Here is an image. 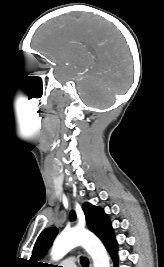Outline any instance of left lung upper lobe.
Wrapping results in <instances>:
<instances>
[{
  "instance_id": "5c2ea615",
  "label": "left lung upper lobe",
  "mask_w": 164,
  "mask_h": 267,
  "mask_svg": "<svg viewBox=\"0 0 164 267\" xmlns=\"http://www.w3.org/2000/svg\"><path fill=\"white\" fill-rule=\"evenodd\" d=\"M84 211L86 222L88 228L96 234L102 242L113 233L111 222L105 214L104 210L90 203H84L82 206ZM76 218L75 212L71 211L70 220L74 221ZM58 233V229L55 227L45 229L36 240L30 262L34 264L35 267H50L46 263L37 262L36 260L42 256L47 249L52 245Z\"/></svg>"
}]
</instances>
